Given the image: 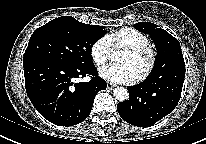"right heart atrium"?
Returning <instances> with one entry per match:
<instances>
[{
	"label": "right heart atrium",
	"instance_id": "obj_1",
	"mask_svg": "<svg viewBox=\"0 0 206 144\" xmlns=\"http://www.w3.org/2000/svg\"><path fill=\"white\" fill-rule=\"evenodd\" d=\"M111 53V45L107 37H100L90 47V55L97 66L104 65Z\"/></svg>",
	"mask_w": 206,
	"mask_h": 144
}]
</instances>
